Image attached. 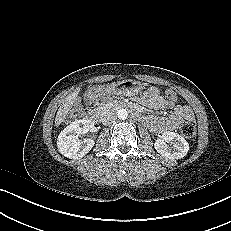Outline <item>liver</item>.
I'll return each mask as SVG.
<instances>
[{
    "label": "liver",
    "mask_w": 231,
    "mask_h": 231,
    "mask_svg": "<svg viewBox=\"0 0 231 231\" xmlns=\"http://www.w3.org/2000/svg\"><path fill=\"white\" fill-rule=\"evenodd\" d=\"M77 95H78V91L72 92L62 102L61 106L59 107V109L57 111L56 118H55V125L56 126H59L61 123H63L65 121V118H66L68 112L70 111V109L72 108V106L76 100Z\"/></svg>",
    "instance_id": "6515ba94"
}]
</instances>
